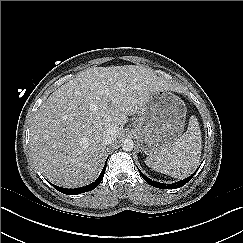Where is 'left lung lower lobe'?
I'll return each instance as SVG.
<instances>
[{
  "label": "left lung lower lobe",
  "mask_w": 243,
  "mask_h": 243,
  "mask_svg": "<svg viewBox=\"0 0 243 243\" xmlns=\"http://www.w3.org/2000/svg\"><path fill=\"white\" fill-rule=\"evenodd\" d=\"M139 170V169H138ZM139 173L141 174V176L143 177V179L149 184V185H152L154 187H157V188H160V189H176V188H179V187H182L183 185H185L188 181L191 180V178L194 176V174L196 173H193L191 176H189L188 178L184 179V180H181V181H178L176 183H173V184H164V183H159V182H156V181H152L151 179H149L147 176H145L140 170H139Z\"/></svg>",
  "instance_id": "0a47b994"
}]
</instances>
